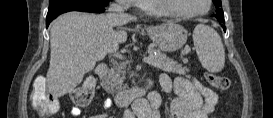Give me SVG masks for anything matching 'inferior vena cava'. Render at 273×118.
Masks as SVG:
<instances>
[{"mask_svg": "<svg viewBox=\"0 0 273 118\" xmlns=\"http://www.w3.org/2000/svg\"><path fill=\"white\" fill-rule=\"evenodd\" d=\"M110 10L111 11H115V12H121L122 11V8L120 6H118L117 4H112L110 6Z\"/></svg>", "mask_w": 273, "mask_h": 118, "instance_id": "602c4592", "label": "inferior vena cava"}]
</instances>
